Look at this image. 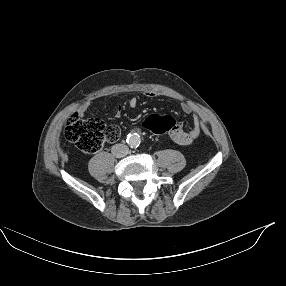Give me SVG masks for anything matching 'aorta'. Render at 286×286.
Returning <instances> with one entry per match:
<instances>
[{
    "label": "aorta",
    "mask_w": 286,
    "mask_h": 286,
    "mask_svg": "<svg viewBox=\"0 0 286 286\" xmlns=\"http://www.w3.org/2000/svg\"><path fill=\"white\" fill-rule=\"evenodd\" d=\"M127 144L130 146V147H138L141 143V138H140V135L137 134V133H132V134H129L127 136Z\"/></svg>",
    "instance_id": "762f6f07"
}]
</instances>
